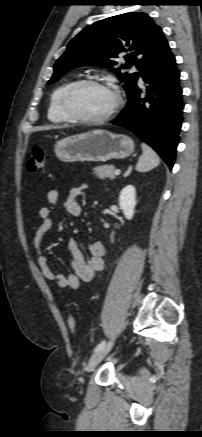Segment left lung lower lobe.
Wrapping results in <instances>:
<instances>
[{
	"label": "left lung lower lobe",
	"mask_w": 202,
	"mask_h": 437,
	"mask_svg": "<svg viewBox=\"0 0 202 437\" xmlns=\"http://www.w3.org/2000/svg\"><path fill=\"white\" fill-rule=\"evenodd\" d=\"M146 95L136 85L127 106L113 124L122 126L149 144L172 169L183 121L180 72L169 45L142 74Z\"/></svg>",
	"instance_id": "1"
}]
</instances>
